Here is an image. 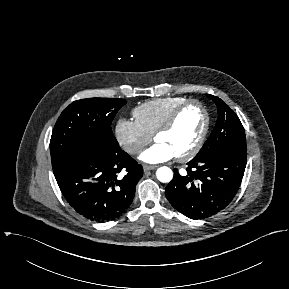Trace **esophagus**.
Wrapping results in <instances>:
<instances>
[{
	"label": "esophagus",
	"mask_w": 289,
	"mask_h": 289,
	"mask_svg": "<svg viewBox=\"0 0 289 289\" xmlns=\"http://www.w3.org/2000/svg\"><path fill=\"white\" fill-rule=\"evenodd\" d=\"M156 168H157V166H151V165H144L143 166L144 171L154 170Z\"/></svg>",
	"instance_id": "1"
}]
</instances>
